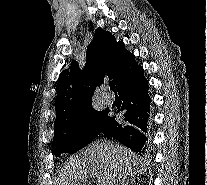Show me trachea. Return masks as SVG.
I'll use <instances>...</instances> for the list:
<instances>
[{
    "label": "trachea",
    "mask_w": 207,
    "mask_h": 185,
    "mask_svg": "<svg viewBox=\"0 0 207 185\" xmlns=\"http://www.w3.org/2000/svg\"><path fill=\"white\" fill-rule=\"evenodd\" d=\"M109 86H110L111 90H113V91L116 93L114 82H111V83L109 84Z\"/></svg>",
    "instance_id": "obj_1"
}]
</instances>
